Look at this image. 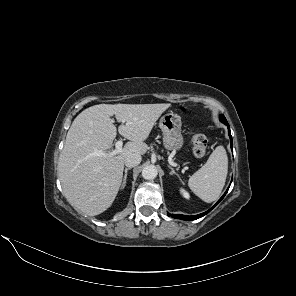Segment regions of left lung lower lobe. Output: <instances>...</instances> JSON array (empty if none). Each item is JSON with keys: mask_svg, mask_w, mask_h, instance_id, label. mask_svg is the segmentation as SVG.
Returning a JSON list of instances; mask_svg holds the SVG:
<instances>
[{"mask_svg": "<svg viewBox=\"0 0 296 296\" xmlns=\"http://www.w3.org/2000/svg\"><path fill=\"white\" fill-rule=\"evenodd\" d=\"M221 122L224 123L225 125H227V127H228V133H229V137H230V140H231V149L233 150V148H232V136H231V133H230L229 124H228V122H227L226 119L221 120ZM228 189H227V191H228ZM227 191L225 192V194L227 193ZM225 194L219 199V201L211 209H209L208 211H206L204 213H201V214H198V215H195V216H186V215H181V214H171V216L173 218L182 219V220H196L198 218H201L204 215H206L207 213H209L223 199V197L225 196ZM168 215L170 216L169 213H168Z\"/></svg>", "mask_w": 296, "mask_h": 296, "instance_id": "left-lung-lower-lobe-1", "label": "left lung lower lobe"}]
</instances>
